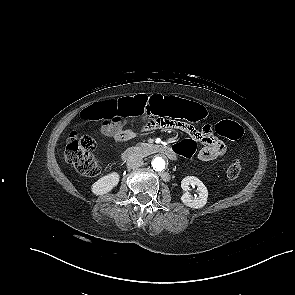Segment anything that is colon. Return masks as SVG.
Listing matches in <instances>:
<instances>
[{
	"mask_svg": "<svg viewBox=\"0 0 295 295\" xmlns=\"http://www.w3.org/2000/svg\"><path fill=\"white\" fill-rule=\"evenodd\" d=\"M139 116L155 118H169L184 123H198L206 119V109L194 102L179 98L144 97L129 98L120 102H105L87 108L82 118L87 121L113 122ZM187 124V123H186ZM166 128V127H159ZM215 131L229 140L242 137V127L234 121L223 120L215 125ZM95 149L94 139L87 134L70 133L66 148L65 159L81 175L93 177L99 174L100 167L93 155ZM177 151L183 157L191 158L195 154V144L191 140L181 141ZM241 164L232 163L226 171L229 180L236 179L241 173Z\"/></svg>",
	"mask_w": 295,
	"mask_h": 295,
	"instance_id": "5ec220e1",
	"label": "colon"
}]
</instances>
